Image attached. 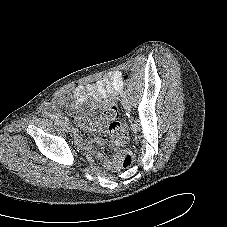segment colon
<instances>
[{
    "label": "colon",
    "mask_w": 227,
    "mask_h": 227,
    "mask_svg": "<svg viewBox=\"0 0 227 227\" xmlns=\"http://www.w3.org/2000/svg\"><path fill=\"white\" fill-rule=\"evenodd\" d=\"M125 77H123V80ZM105 111L106 117L109 119V133L112 145L119 151V161L123 168H129L134 163V155L129 150H123L122 147L128 142V130L124 124L118 120L119 110L114 102L105 99L101 104Z\"/></svg>",
    "instance_id": "colon-1"
}]
</instances>
